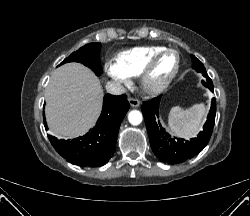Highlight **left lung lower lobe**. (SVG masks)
Returning a JSON list of instances; mask_svg holds the SVG:
<instances>
[{"label": "left lung lower lobe", "mask_w": 250, "mask_h": 216, "mask_svg": "<svg viewBox=\"0 0 250 216\" xmlns=\"http://www.w3.org/2000/svg\"><path fill=\"white\" fill-rule=\"evenodd\" d=\"M205 76L209 81H202V84L213 92V83L208 75ZM160 99L161 96L155 97L143 102L141 106L151 148L154 154L164 163L177 164L184 162L197 155L207 145L214 127L216 100L215 98L212 99L211 109L203 131L199 133L197 138L185 142L184 139L176 140L172 138L165 132L159 121H156V118L159 117Z\"/></svg>", "instance_id": "left-lung-lower-lobe-1"}]
</instances>
